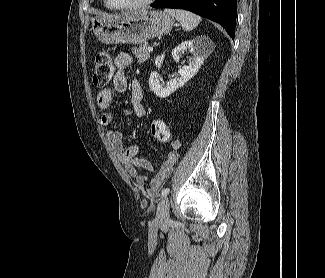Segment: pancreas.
Segmentation results:
<instances>
[{
    "mask_svg": "<svg viewBox=\"0 0 325 278\" xmlns=\"http://www.w3.org/2000/svg\"><path fill=\"white\" fill-rule=\"evenodd\" d=\"M148 46L145 43L137 48L132 49V53L135 55L139 63H144L150 55V52L147 50Z\"/></svg>",
    "mask_w": 325,
    "mask_h": 278,
    "instance_id": "obj_1",
    "label": "pancreas"
}]
</instances>
